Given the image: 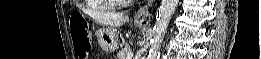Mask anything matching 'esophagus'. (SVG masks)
Instances as JSON below:
<instances>
[{
	"instance_id": "esophagus-1",
	"label": "esophagus",
	"mask_w": 261,
	"mask_h": 59,
	"mask_svg": "<svg viewBox=\"0 0 261 59\" xmlns=\"http://www.w3.org/2000/svg\"><path fill=\"white\" fill-rule=\"evenodd\" d=\"M154 0H149L144 6L140 7L135 15L134 21L140 26H147L151 20L150 7L153 5Z\"/></svg>"
}]
</instances>
